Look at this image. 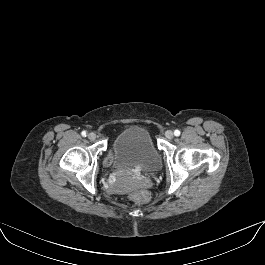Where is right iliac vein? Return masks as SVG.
<instances>
[{
	"label": "right iliac vein",
	"instance_id": "63e3f726",
	"mask_svg": "<svg viewBox=\"0 0 265 265\" xmlns=\"http://www.w3.org/2000/svg\"><path fill=\"white\" fill-rule=\"evenodd\" d=\"M88 139L91 141H94L96 139V134L94 132H91L88 134Z\"/></svg>",
	"mask_w": 265,
	"mask_h": 265
}]
</instances>
